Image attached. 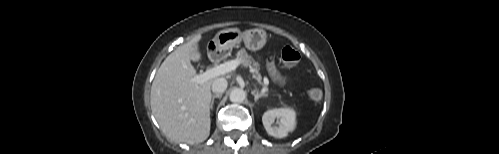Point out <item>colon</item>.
Here are the masks:
<instances>
[{
    "label": "colon",
    "instance_id": "colon-1",
    "mask_svg": "<svg viewBox=\"0 0 499 154\" xmlns=\"http://www.w3.org/2000/svg\"><path fill=\"white\" fill-rule=\"evenodd\" d=\"M280 59L284 67L290 68L299 62L300 54L294 48L287 46L283 48ZM308 96L313 101H320L322 91L318 87H313L308 91Z\"/></svg>",
    "mask_w": 499,
    "mask_h": 154
}]
</instances>
